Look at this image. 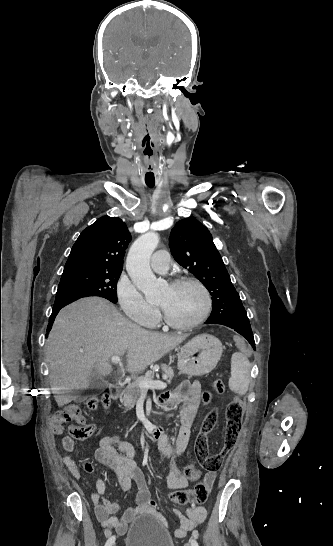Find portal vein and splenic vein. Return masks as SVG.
Instances as JSON below:
<instances>
[{
    "label": "portal vein and splenic vein",
    "mask_w": 333,
    "mask_h": 546,
    "mask_svg": "<svg viewBox=\"0 0 333 546\" xmlns=\"http://www.w3.org/2000/svg\"><path fill=\"white\" fill-rule=\"evenodd\" d=\"M121 358L120 356H112L111 357V363L118 364L120 363ZM139 387L141 390H148V389H165L167 387V384L165 382H162L160 380H142L139 383Z\"/></svg>",
    "instance_id": "obj_1"
}]
</instances>
